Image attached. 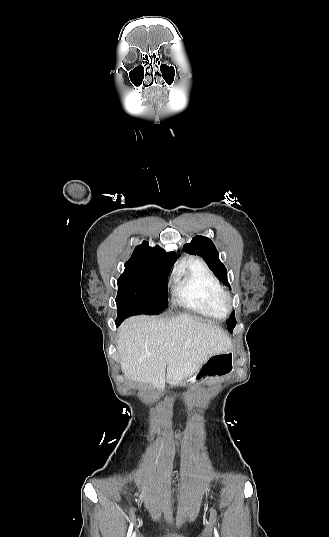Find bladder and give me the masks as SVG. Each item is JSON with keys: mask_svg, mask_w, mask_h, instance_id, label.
Segmentation results:
<instances>
[{"mask_svg": "<svg viewBox=\"0 0 329 537\" xmlns=\"http://www.w3.org/2000/svg\"><path fill=\"white\" fill-rule=\"evenodd\" d=\"M160 537H187V536L182 533L166 532Z\"/></svg>", "mask_w": 329, "mask_h": 537, "instance_id": "obj_1", "label": "bladder"}]
</instances>
